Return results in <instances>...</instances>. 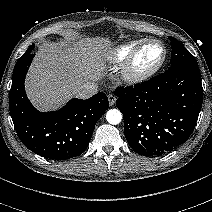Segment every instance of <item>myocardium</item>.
<instances>
[{
  "instance_id": "obj_1",
  "label": "myocardium",
  "mask_w": 212,
  "mask_h": 212,
  "mask_svg": "<svg viewBox=\"0 0 212 212\" xmlns=\"http://www.w3.org/2000/svg\"><path fill=\"white\" fill-rule=\"evenodd\" d=\"M152 44H156L161 47L162 55L160 59L154 65L148 68L139 69L136 64L139 54L147 46ZM166 56H167V50L161 41L150 39L140 42L125 61L122 71V77L124 81L130 84H138L150 79L161 69L166 60Z\"/></svg>"
}]
</instances>
